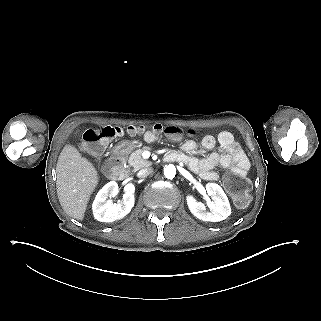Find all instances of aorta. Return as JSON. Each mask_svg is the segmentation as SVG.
<instances>
[{
	"label": "aorta",
	"mask_w": 321,
	"mask_h": 321,
	"mask_svg": "<svg viewBox=\"0 0 321 321\" xmlns=\"http://www.w3.org/2000/svg\"><path fill=\"white\" fill-rule=\"evenodd\" d=\"M175 174H176V168L174 165L169 164L164 167V175L166 178L173 179L175 177Z\"/></svg>",
	"instance_id": "aorta-1"
}]
</instances>
